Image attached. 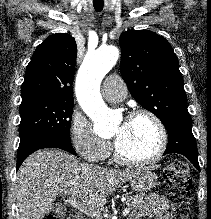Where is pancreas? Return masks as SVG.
<instances>
[{
	"label": "pancreas",
	"mask_w": 211,
	"mask_h": 219,
	"mask_svg": "<svg viewBox=\"0 0 211 219\" xmlns=\"http://www.w3.org/2000/svg\"><path fill=\"white\" fill-rule=\"evenodd\" d=\"M126 199V205L129 209L138 208L144 201V194H137L135 196H129L128 194L124 195Z\"/></svg>",
	"instance_id": "pancreas-1"
}]
</instances>
